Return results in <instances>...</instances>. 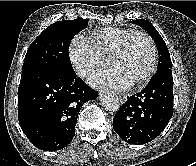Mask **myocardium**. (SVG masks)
I'll list each match as a JSON object with an SVG mask.
<instances>
[{
  "label": "myocardium",
  "mask_w": 196,
  "mask_h": 166,
  "mask_svg": "<svg viewBox=\"0 0 196 166\" xmlns=\"http://www.w3.org/2000/svg\"><path fill=\"white\" fill-rule=\"evenodd\" d=\"M137 36H142L149 42L152 51V61L148 71L141 78L132 83V86L134 87H139L146 84L156 71L158 64V50L154 39L145 31H134L122 41L121 45L116 49L110 58V64L112 65L116 59L122 57L127 52L130 42Z\"/></svg>",
  "instance_id": "1"
}]
</instances>
